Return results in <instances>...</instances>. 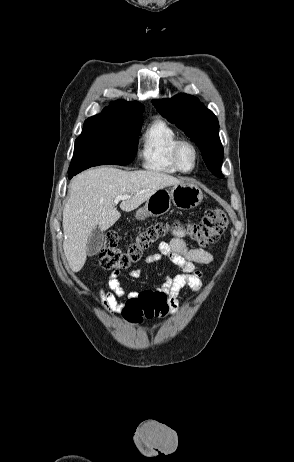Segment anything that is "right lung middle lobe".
I'll use <instances>...</instances> for the list:
<instances>
[{"mask_svg": "<svg viewBox=\"0 0 294 462\" xmlns=\"http://www.w3.org/2000/svg\"><path fill=\"white\" fill-rule=\"evenodd\" d=\"M142 117L96 115L84 122L81 135L75 141L68 175L103 164L126 165L134 160L137 135Z\"/></svg>", "mask_w": 294, "mask_h": 462, "instance_id": "1", "label": "right lung middle lobe"}]
</instances>
